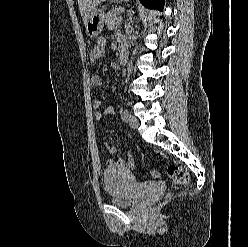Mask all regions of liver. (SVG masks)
<instances>
[{
	"label": "liver",
	"mask_w": 248,
	"mask_h": 247,
	"mask_svg": "<svg viewBox=\"0 0 248 247\" xmlns=\"http://www.w3.org/2000/svg\"><path fill=\"white\" fill-rule=\"evenodd\" d=\"M104 1L106 0H78L79 10L84 23L88 19L89 14L96 10V6Z\"/></svg>",
	"instance_id": "6515ba94"
}]
</instances>
